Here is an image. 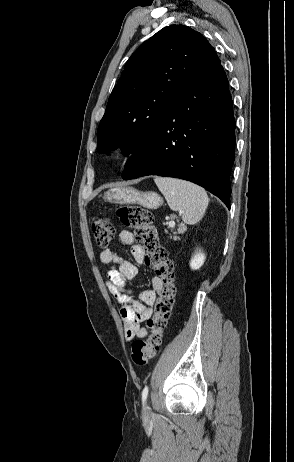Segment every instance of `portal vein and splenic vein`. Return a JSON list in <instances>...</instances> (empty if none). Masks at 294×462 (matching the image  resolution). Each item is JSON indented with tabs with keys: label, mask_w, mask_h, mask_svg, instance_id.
<instances>
[{
	"label": "portal vein and splenic vein",
	"mask_w": 294,
	"mask_h": 462,
	"mask_svg": "<svg viewBox=\"0 0 294 462\" xmlns=\"http://www.w3.org/2000/svg\"><path fill=\"white\" fill-rule=\"evenodd\" d=\"M169 226H171V227L175 226V222H174V221H170V222H169Z\"/></svg>",
	"instance_id": "1"
}]
</instances>
